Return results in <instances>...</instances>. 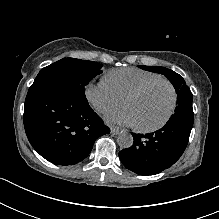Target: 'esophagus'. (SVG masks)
<instances>
[{
    "label": "esophagus",
    "instance_id": "34e87169",
    "mask_svg": "<svg viewBox=\"0 0 219 219\" xmlns=\"http://www.w3.org/2000/svg\"><path fill=\"white\" fill-rule=\"evenodd\" d=\"M123 130L121 128L118 127H112L111 128V133L114 135H118L119 133H121Z\"/></svg>",
    "mask_w": 219,
    "mask_h": 219
}]
</instances>
